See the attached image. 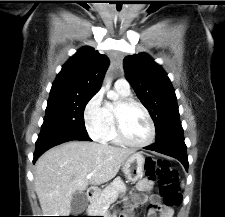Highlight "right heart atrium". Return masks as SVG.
Wrapping results in <instances>:
<instances>
[{
  "label": "right heart atrium",
  "instance_id": "d8ad5b80",
  "mask_svg": "<svg viewBox=\"0 0 225 217\" xmlns=\"http://www.w3.org/2000/svg\"><path fill=\"white\" fill-rule=\"evenodd\" d=\"M84 122L88 134L100 140L107 129L106 118L103 105V93L97 92L84 107Z\"/></svg>",
  "mask_w": 225,
  "mask_h": 217
}]
</instances>
